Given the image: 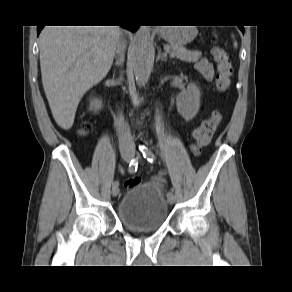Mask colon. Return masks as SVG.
Returning <instances> with one entry per match:
<instances>
[{
	"label": "colon",
	"instance_id": "colon-1",
	"mask_svg": "<svg viewBox=\"0 0 292 292\" xmlns=\"http://www.w3.org/2000/svg\"><path fill=\"white\" fill-rule=\"evenodd\" d=\"M212 57L218 64V72L215 79L216 88L219 91H226L230 87V75L232 71L228 54L223 48L215 46L212 48ZM222 118L223 114L221 111H214L211 116L204 120L194 131L195 143L192 145L194 154L198 155L201 150L211 142ZM90 129L91 123L87 122L81 128L80 133L84 135ZM138 184H140V179L132 177L125 181L124 186L126 188H132Z\"/></svg>",
	"mask_w": 292,
	"mask_h": 292
}]
</instances>
